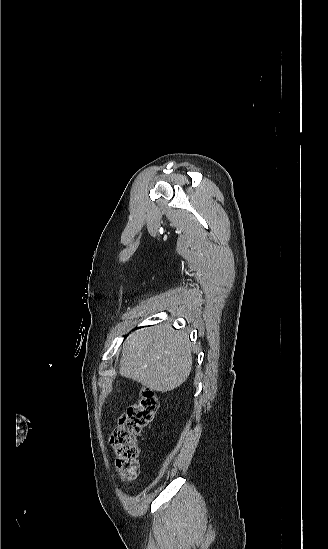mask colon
<instances>
[{
  "label": "colon",
  "instance_id": "obj_1",
  "mask_svg": "<svg viewBox=\"0 0 328 549\" xmlns=\"http://www.w3.org/2000/svg\"><path fill=\"white\" fill-rule=\"evenodd\" d=\"M158 405L157 394L150 388H143L139 401L121 415L112 433L111 444L116 454V466L124 481L136 477L139 455L137 436L151 422Z\"/></svg>",
  "mask_w": 328,
  "mask_h": 549
}]
</instances>
